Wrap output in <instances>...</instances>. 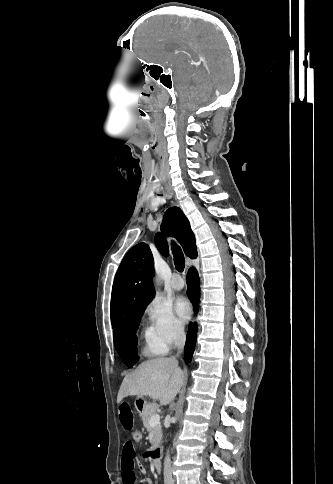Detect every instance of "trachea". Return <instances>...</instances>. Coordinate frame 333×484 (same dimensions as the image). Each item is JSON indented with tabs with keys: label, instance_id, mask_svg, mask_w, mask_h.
I'll list each match as a JSON object with an SVG mask.
<instances>
[{
	"label": "trachea",
	"instance_id": "trachea-1",
	"mask_svg": "<svg viewBox=\"0 0 333 484\" xmlns=\"http://www.w3.org/2000/svg\"><path fill=\"white\" fill-rule=\"evenodd\" d=\"M158 151L162 152L163 148L159 147ZM172 253H173V256H174V264H175L176 269L179 272H183L184 266H185L184 254H183L181 248L178 245H176L175 243H173V246H172Z\"/></svg>",
	"mask_w": 333,
	"mask_h": 484
}]
</instances>
